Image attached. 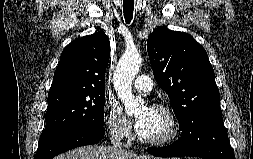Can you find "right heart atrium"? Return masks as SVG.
Instances as JSON below:
<instances>
[{"label":"right heart atrium","instance_id":"right-heart-atrium-1","mask_svg":"<svg viewBox=\"0 0 253 159\" xmlns=\"http://www.w3.org/2000/svg\"><path fill=\"white\" fill-rule=\"evenodd\" d=\"M104 122L108 132L119 140H128L132 133V123L121 107L109 101L105 107Z\"/></svg>","mask_w":253,"mask_h":159}]
</instances>
